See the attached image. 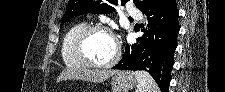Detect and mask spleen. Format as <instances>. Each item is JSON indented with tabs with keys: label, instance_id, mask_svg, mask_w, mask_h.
Instances as JSON below:
<instances>
[{
	"label": "spleen",
	"instance_id": "1",
	"mask_svg": "<svg viewBox=\"0 0 225 92\" xmlns=\"http://www.w3.org/2000/svg\"><path fill=\"white\" fill-rule=\"evenodd\" d=\"M137 81L136 92H160V89L153 77L146 71H136Z\"/></svg>",
	"mask_w": 225,
	"mask_h": 92
}]
</instances>
